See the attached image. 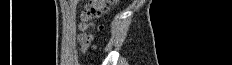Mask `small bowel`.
Wrapping results in <instances>:
<instances>
[{
	"label": "small bowel",
	"instance_id": "obj_1",
	"mask_svg": "<svg viewBox=\"0 0 232 65\" xmlns=\"http://www.w3.org/2000/svg\"><path fill=\"white\" fill-rule=\"evenodd\" d=\"M81 29L84 30L85 25H81ZM78 40H79V43L81 45L82 50L85 51L88 48L89 43H90V39H89L88 34H86L84 32L80 33L78 36Z\"/></svg>",
	"mask_w": 232,
	"mask_h": 65
}]
</instances>
